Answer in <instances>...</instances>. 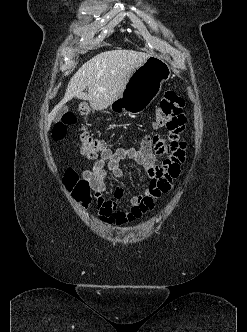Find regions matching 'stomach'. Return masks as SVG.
<instances>
[{
	"label": "stomach",
	"mask_w": 247,
	"mask_h": 332,
	"mask_svg": "<svg viewBox=\"0 0 247 332\" xmlns=\"http://www.w3.org/2000/svg\"><path fill=\"white\" fill-rule=\"evenodd\" d=\"M171 76L169 64L157 56L149 57L134 70L122 94L110 108L129 115L141 114L159 95L162 84Z\"/></svg>",
	"instance_id": "0dacf381"
}]
</instances>
